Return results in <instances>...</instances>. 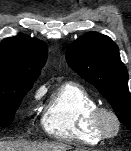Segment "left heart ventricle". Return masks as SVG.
Listing matches in <instances>:
<instances>
[{
    "instance_id": "left-heart-ventricle-1",
    "label": "left heart ventricle",
    "mask_w": 131,
    "mask_h": 151,
    "mask_svg": "<svg viewBox=\"0 0 131 151\" xmlns=\"http://www.w3.org/2000/svg\"><path fill=\"white\" fill-rule=\"evenodd\" d=\"M109 126H110V127L112 126L111 123H109Z\"/></svg>"
}]
</instances>
